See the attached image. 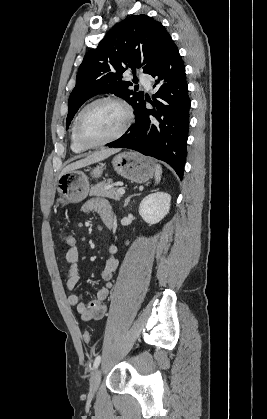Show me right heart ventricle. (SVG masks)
I'll use <instances>...</instances> for the list:
<instances>
[{
  "instance_id": "right-heart-ventricle-1",
  "label": "right heart ventricle",
  "mask_w": 267,
  "mask_h": 419,
  "mask_svg": "<svg viewBox=\"0 0 267 419\" xmlns=\"http://www.w3.org/2000/svg\"><path fill=\"white\" fill-rule=\"evenodd\" d=\"M74 124H75V120L73 123V127H72V134H71V147L72 150L76 153H82L86 151V148L82 147L77 140L75 139V135H74Z\"/></svg>"
}]
</instances>
